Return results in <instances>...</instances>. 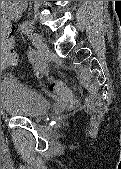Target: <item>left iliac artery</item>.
Wrapping results in <instances>:
<instances>
[{
    "label": "left iliac artery",
    "mask_w": 121,
    "mask_h": 169,
    "mask_svg": "<svg viewBox=\"0 0 121 169\" xmlns=\"http://www.w3.org/2000/svg\"><path fill=\"white\" fill-rule=\"evenodd\" d=\"M21 29V35H30L32 34L33 26L30 22H25ZM28 58H30L33 68H36V72H43L44 63H41V59H37L36 53H28Z\"/></svg>",
    "instance_id": "1"
}]
</instances>
